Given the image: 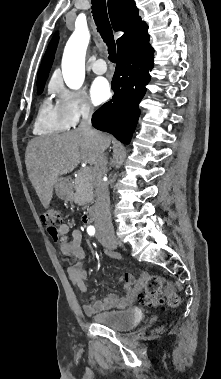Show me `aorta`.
Instances as JSON below:
<instances>
[{
    "label": "aorta",
    "mask_w": 221,
    "mask_h": 379,
    "mask_svg": "<svg viewBox=\"0 0 221 379\" xmlns=\"http://www.w3.org/2000/svg\"><path fill=\"white\" fill-rule=\"evenodd\" d=\"M90 34L87 28L76 29L69 38L62 58V73L66 85L79 89L85 78V54Z\"/></svg>",
    "instance_id": "1"
}]
</instances>
